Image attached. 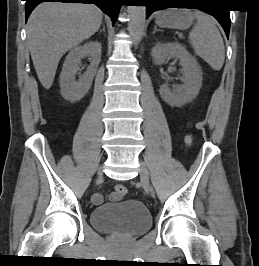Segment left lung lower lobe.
I'll list each match as a JSON object with an SVG mask.
<instances>
[{"mask_svg":"<svg viewBox=\"0 0 259 266\" xmlns=\"http://www.w3.org/2000/svg\"><path fill=\"white\" fill-rule=\"evenodd\" d=\"M140 2L146 6L147 18L154 11L164 8L181 7V5L201 6L198 9L213 15L223 27L226 36H229L230 11L228 9L209 6L208 4L214 2V0H140Z\"/></svg>","mask_w":259,"mask_h":266,"instance_id":"0a47b994","label":"left lung lower lobe"}]
</instances>
